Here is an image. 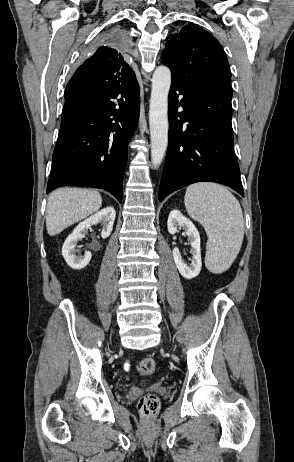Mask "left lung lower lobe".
Listing matches in <instances>:
<instances>
[{"label": "left lung lower lobe", "instance_id": "1", "mask_svg": "<svg viewBox=\"0 0 294 462\" xmlns=\"http://www.w3.org/2000/svg\"><path fill=\"white\" fill-rule=\"evenodd\" d=\"M182 97L179 98V94ZM230 84H184L172 80L169 91V145L159 201L187 185L210 181L244 196L234 156ZM183 108L178 112V108ZM186 122V124H184Z\"/></svg>", "mask_w": 294, "mask_h": 462}]
</instances>
